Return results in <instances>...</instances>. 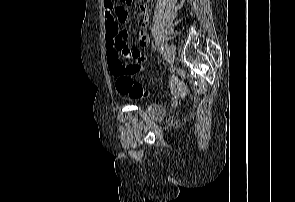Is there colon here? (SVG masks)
I'll return each mask as SVG.
<instances>
[{"label": "colon", "mask_w": 295, "mask_h": 202, "mask_svg": "<svg viewBox=\"0 0 295 202\" xmlns=\"http://www.w3.org/2000/svg\"><path fill=\"white\" fill-rule=\"evenodd\" d=\"M112 73L116 77V88L121 94L133 99L142 98L150 94L139 83L133 80L130 65L125 63L113 64Z\"/></svg>", "instance_id": "1"}]
</instances>
